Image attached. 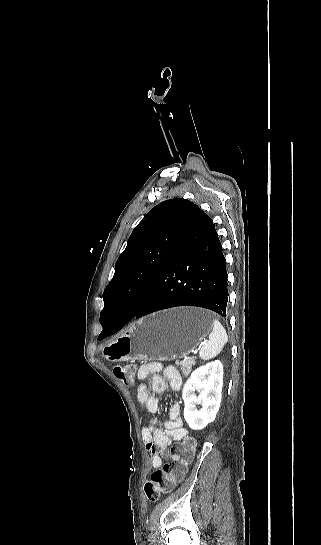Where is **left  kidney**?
I'll list each match as a JSON object with an SVG mask.
<instances>
[{"label":"left kidney","mask_w":321,"mask_h":545,"mask_svg":"<svg viewBox=\"0 0 321 545\" xmlns=\"http://www.w3.org/2000/svg\"><path fill=\"white\" fill-rule=\"evenodd\" d=\"M223 387V365L221 361L207 363L191 373L183 387L182 399L184 419L193 431L205 429L213 423L220 407ZM195 391H201L197 397ZM201 405L202 409H197Z\"/></svg>","instance_id":"left-kidney-1"}]
</instances>
